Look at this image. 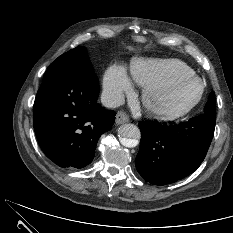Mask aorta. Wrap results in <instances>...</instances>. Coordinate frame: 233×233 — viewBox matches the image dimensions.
<instances>
[{"label":"aorta","mask_w":233,"mask_h":233,"mask_svg":"<svg viewBox=\"0 0 233 233\" xmlns=\"http://www.w3.org/2000/svg\"><path fill=\"white\" fill-rule=\"evenodd\" d=\"M120 142L123 146L131 148L138 144L141 136L140 129L134 124H123L118 131Z\"/></svg>","instance_id":"aorta-1"}]
</instances>
